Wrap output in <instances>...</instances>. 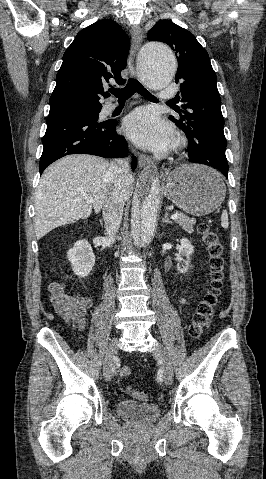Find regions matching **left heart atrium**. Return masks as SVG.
Masks as SVG:
<instances>
[{
	"label": "left heart atrium",
	"mask_w": 266,
	"mask_h": 479,
	"mask_svg": "<svg viewBox=\"0 0 266 479\" xmlns=\"http://www.w3.org/2000/svg\"><path fill=\"white\" fill-rule=\"evenodd\" d=\"M123 128L135 143L154 150H163L172 135L171 127L148 108H140L129 114Z\"/></svg>",
	"instance_id": "39dd6f15"
}]
</instances>
